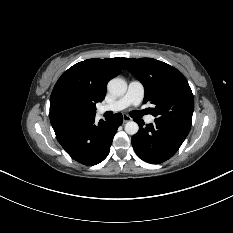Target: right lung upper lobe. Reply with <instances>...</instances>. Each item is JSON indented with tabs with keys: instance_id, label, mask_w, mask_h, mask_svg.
Instances as JSON below:
<instances>
[{
	"instance_id": "obj_1",
	"label": "right lung upper lobe",
	"mask_w": 233,
	"mask_h": 233,
	"mask_svg": "<svg viewBox=\"0 0 233 233\" xmlns=\"http://www.w3.org/2000/svg\"><path fill=\"white\" fill-rule=\"evenodd\" d=\"M120 58L88 59L65 71L50 97L51 124L68 118L94 115L106 95L107 82L124 70Z\"/></svg>"
}]
</instances>
